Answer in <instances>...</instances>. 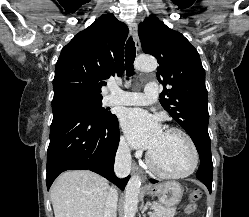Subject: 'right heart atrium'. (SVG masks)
I'll return each instance as SVG.
<instances>
[{
	"mask_svg": "<svg viewBox=\"0 0 249 217\" xmlns=\"http://www.w3.org/2000/svg\"><path fill=\"white\" fill-rule=\"evenodd\" d=\"M120 150L123 152V153H127L129 148H128V144L126 142V140L124 138H121L120 139Z\"/></svg>",
	"mask_w": 249,
	"mask_h": 217,
	"instance_id": "1",
	"label": "right heart atrium"
}]
</instances>
